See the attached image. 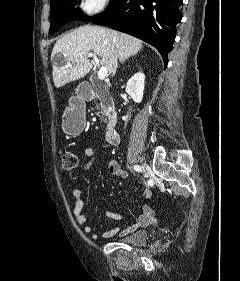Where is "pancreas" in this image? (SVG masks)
Returning <instances> with one entry per match:
<instances>
[{
    "label": "pancreas",
    "mask_w": 240,
    "mask_h": 281,
    "mask_svg": "<svg viewBox=\"0 0 240 281\" xmlns=\"http://www.w3.org/2000/svg\"><path fill=\"white\" fill-rule=\"evenodd\" d=\"M94 96L100 100V104H96V106L97 109L100 110L99 113L101 120L107 122V116L110 111L113 110V102L111 96L109 95V91L108 89H105L100 95L96 93Z\"/></svg>",
    "instance_id": "1"
}]
</instances>
